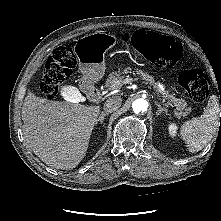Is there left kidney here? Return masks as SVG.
<instances>
[{"mask_svg":"<svg viewBox=\"0 0 221 221\" xmlns=\"http://www.w3.org/2000/svg\"><path fill=\"white\" fill-rule=\"evenodd\" d=\"M177 125L175 123H171L169 124V127H168V130H169V133L171 136H176V133H177Z\"/></svg>","mask_w":221,"mask_h":221,"instance_id":"left-kidney-1","label":"left kidney"}]
</instances>
